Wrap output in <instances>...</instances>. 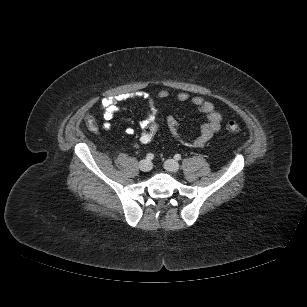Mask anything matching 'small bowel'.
<instances>
[{
	"label": "small bowel",
	"instance_id": "small-bowel-1",
	"mask_svg": "<svg viewBox=\"0 0 307 307\" xmlns=\"http://www.w3.org/2000/svg\"><path fill=\"white\" fill-rule=\"evenodd\" d=\"M170 96L167 90H162L157 94L158 99H165ZM130 97H137L143 99L147 103V110L143 120L140 122L142 129H145L152 122H154L158 116V110L155 106L154 98L146 92H139L134 95H121L117 98H105L99 105V113L103 116V129L109 130L111 128L110 121L114 115L119 111L118 102L128 99ZM176 99L180 102L190 101L200 113L206 116V122L202 125L200 134L192 139L185 140L179 132V124L177 120L170 116L167 118V126L171 134L185 145L200 148L203 147L221 128L222 116L216 110L215 106L200 96L190 98L186 92H180L176 95ZM91 130L96 131L97 126H89ZM126 133L132 135L134 129L132 127L126 128Z\"/></svg>",
	"mask_w": 307,
	"mask_h": 307
}]
</instances>
